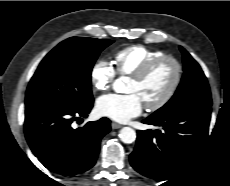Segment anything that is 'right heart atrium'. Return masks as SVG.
<instances>
[{"instance_id":"right-heart-atrium-1","label":"right heart atrium","mask_w":230,"mask_h":186,"mask_svg":"<svg viewBox=\"0 0 230 186\" xmlns=\"http://www.w3.org/2000/svg\"><path fill=\"white\" fill-rule=\"evenodd\" d=\"M115 69L107 60L100 59L94 63L90 71V80L94 90H108L115 79Z\"/></svg>"}]
</instances>
